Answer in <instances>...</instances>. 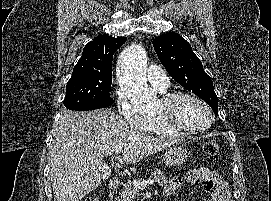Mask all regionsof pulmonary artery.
Listing matches in <instances>:
<instances>
[{
	"instance_id": "obj_1",
	"label": "pulmonary artery",
	"mask_w": 271,
	"mask_h": 201,
	"mask_svg": "<svg viewBox=\"0 0 271 201\" xmlns=\"http://www.w3.org/2000/svg\"><path fill=\"white\" fill-rule=\"evenodd\" d=\"M147 78L153 86L160 90H165L169 86V79L165 71L156 65L148 67Z\"/></svg>"
}]
</instances>
